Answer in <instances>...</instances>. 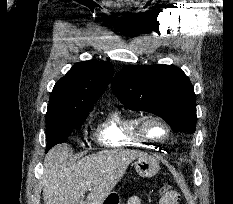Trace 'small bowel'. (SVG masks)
<instances>
[{
    "mask_svg": "<svg viewBox=\"0 0 233 204\" xmlns=\"http://www.w3.org/2000/svg\"><path fill=\"white\" fill-rule=\"evenodd\" d=\"M141 199L138 196H133L129 199L128 204H140Z\"/></svg>",
    "mask_w": 233,
    "mask_h": 204,
    "instance_id": "c3829d8e",
    "label": "small bowel"
}]
</instances>
